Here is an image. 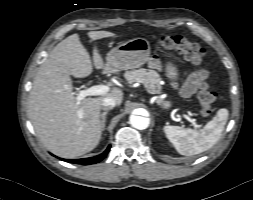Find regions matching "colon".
Masks as SVG:
<instances>
[{"label":"colon","mask_w":253,"mask_h":200,"mask_svg":"<svg viewBox=\"0 0 253 200\" xmlns=\"http://www.w3.org/2000/svg\"><path fill=\"white\" fill-rule=\"evenodd\" d=\"M160 46L168 51L176 52L194 65H201L205 58V50L198 44L189 41L181 35H167L159 40ZM216 100V93L206 82H202L198 92L200 113L203 116L211 114Z\"/></svg>","instance_id":"colon-1"}]
</instances>
